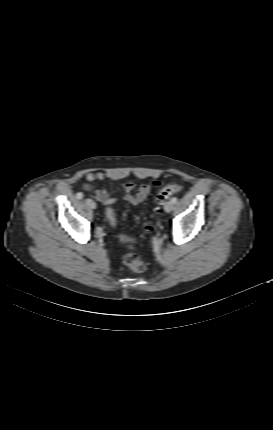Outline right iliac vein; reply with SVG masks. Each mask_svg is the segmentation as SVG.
I'll list each match as a JSON object with an SVG mask.
<instances>
[{"label":"right iliac vein","mask_w":273,"mask_h":430,"mask_svg":"<svg viewBox=\"0 0 273 430\" xmlns=\"http://www.w3.org/2000/svg\"><path fill=\"white\" fill-rule=\"evenodd\" d=\"M86 204L91 208V209H95L96 208V203L91 200V199H86Z\"/></svg>","instance_id":"right-iliac-vein-1"}]
</instances>
